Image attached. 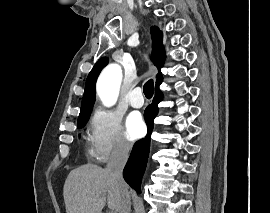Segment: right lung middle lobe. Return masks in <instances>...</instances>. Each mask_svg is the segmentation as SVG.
Wrapping results in <instances>:
<instances>
[{
	"label": "right lung middle lobe",
	"instance_id": "obj_1",
	"mask_svg": "<svg viewBox=\"0 0 270 213\" xmlns=\"http://www.w3.org/2000/svg\"><path fill=\"white\" fill-rule=\"evenodd\" d=\"M89 115H90V113H87V114H84V115H80L78 117V121H77V127L78 128H81L86 124V122H87V120L89 118Z\"/></svg>",
	"mask_w": 270,
	"mask_h": 213
}]
</instances>
